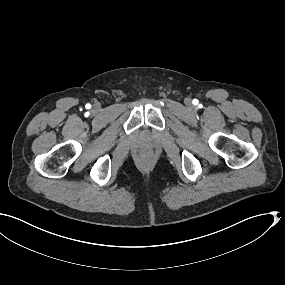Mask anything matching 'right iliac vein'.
Listing matches in <instances>:
<instances>
[{
  "mask_svg": "<svg viewBox=\"0 0 285 285\" xmlns=\"http://www.w3.org/2000/svg\"><path fill=\"white\" fill-rule=\"evenodd\" d=\"M94 109H96V111H98V110H99V107H97V106H94Z\"/></svg>",
  "mask_w": 285,
  "mask_h": 285,
  "instance_id": "1",
  "label": "right iliac vein"
}]
</instances>
